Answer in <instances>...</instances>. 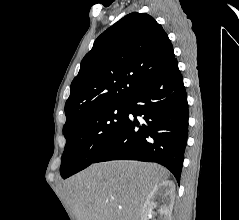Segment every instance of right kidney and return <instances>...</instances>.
Here are the masks:
<instances>
[{"label": "right kidney", "mask_w": 239, "mask_h": 220, "mask_svg": "<svg viewBox=\"0 0 239 220\" xmlns=\"http://www.w3.org/2000/svg\"><path fill=\"white\" fill-rule=\"evenodd\" d=\"M162 201L158 209L157 220H170L175 199V185L172 181L164 180L155 185L148 194L141 210V220H149L152 210L156 207V199Z\"/></svg>", "instance_id": "1"}]
</instances>
